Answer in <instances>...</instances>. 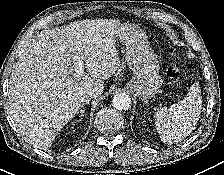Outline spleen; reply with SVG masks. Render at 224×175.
I'll return each instance as SVG.
<instances>
[{
    "label": "spleen",
    "instance_id": "obj_1",
    "mask_svg": "<svg viewBox=\"0 0 224 175\" xmlns=\"http://www.w3.org/2000/svg\"><path fill=\"white\" fill-rule=\"evenodd\" d=\"M201 109L200 86L194 83L182 101L155 113V125L161 140L172 144L188 136L197 125Z\"/></svg>",
    "mask_w": 224,
    "mask_h": 175
}]
</instances>
